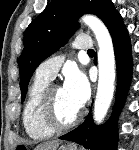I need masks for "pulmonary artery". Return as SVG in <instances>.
Listing matches in <instances>:
<instances>
[{"label":"pulmonary artery","mask_w":139,"mask_h":150,"mask_svg":"<svg viewBox=\"0 0 139 150\" xmlns=\"http://www.w3.org/2000/svg\"><path fill=\"white\" fill-rule=\"evenodd\" d=\"M74 47L79 50L92 49L93 43L89 36H78L74 41ZM64 58L62 56H56L50 58L39 65L36 70V76L52 80L60 69Z\"/></svg>","instance_id":"1"}]
</instances>
